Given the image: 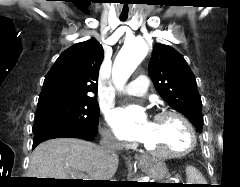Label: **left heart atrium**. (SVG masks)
Segmentation results:
<instances>
[{"label":"left heart atrium","mask_w":240,"mask_h":187,"mask_svg":"<svg viewBox=\"0 0 240 187\" xmlns=\"http://www.w3.org/2000/svg\"><path fill=\"white\" fill-rule=\"evenodd\" d=\"M110 123L119 137L146 143L152 129V122L142 125L132 124L121 110H116L110 115Z\"/></svg>","instance_id":"1"}]
</instances>
